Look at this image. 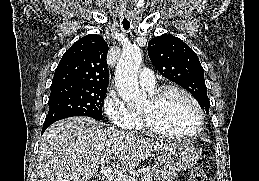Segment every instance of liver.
I'll return each mask as SVG.
<instances>
[{"label":"liver","instance_id":"obj_1","mask_svg":"<svg viewBox=\"0 0 259 181\" xmlns=\"http://www.w3.org/2000/svg\"><path fill=\"white\" fill-rule=\"evenodd\" d=\"M170 142L143 138L89 117L60 120L44 132L38 152V181H85L98 174L109 156L113 171L124 174Z\"/></svg>","mask_w":259,"mask_h":181}]
</instances>
